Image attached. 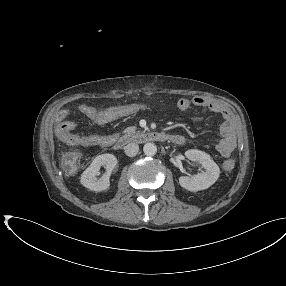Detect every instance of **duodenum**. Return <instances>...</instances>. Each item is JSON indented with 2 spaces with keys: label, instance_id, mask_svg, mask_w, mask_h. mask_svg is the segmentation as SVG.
<instances>
[{
  "label": "duodenum",
  "instance_id": "410a0bca",
  "mask_svg": "<svg viewBox=\"0 0 286 286\" xmlns=\"http://www.w3.org/2000/svg\"><path fill=\"white\" fill-rule=\"evenodd\" d=\"M172 142L177 145H182L185 142V139L181 135L171 134L166 132H142V133H133L116 139L113 142V147L116 150L122 149L126 144L130 142Z\"/></svg>",
  "mask_w": 286,
  "mask_h": 286
}]
</instances>
